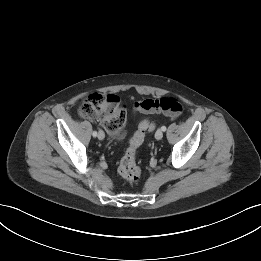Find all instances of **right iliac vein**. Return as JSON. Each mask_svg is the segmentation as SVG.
I'll use <instances>...</instances> for the list:
<instances>
[{
  "instance_id": "right-iliac-vein-1",
  "label": "right iliac vein",
  "mask_w": 261,
  "mask_h": 261,
  "mask_svg": "<svg viewBox=\"0 0 261 261\" xmlns=\"http://www.w3.org/2000/svg\"><path fill=\"white\" fill-rule=\"evenodd\" d=\"M104 137H105L104 132H103L102 130H100V131L98 132V139H99V140H103Z\"/></svg>"
}]
</instances>
